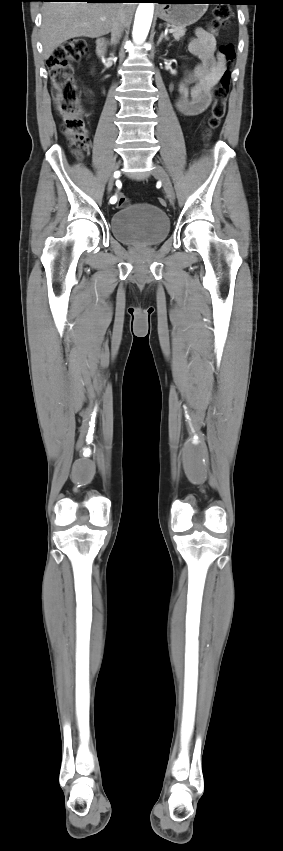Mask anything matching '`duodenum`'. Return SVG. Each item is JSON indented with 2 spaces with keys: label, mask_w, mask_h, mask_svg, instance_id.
<instances>
[{
  "label": "duodenum",
  "mask_w": 283,
  "mask_h": 851,
  "mask_svg": "<svg viewBox=\"0 0 283 851\" xmlns=\"http://www.w3.org/2000/svg\"><path fill=\"white\" fill-rule=\"evenodd\" d=\"M106 49H107V43H106V41H105L104 39H99V40L97 41L96 51H97V55H98V57H99L101 60H103V59L105 58V55H106Z\"/></svg>",
  "instance_id": "obj_1"
}]
</instances>
